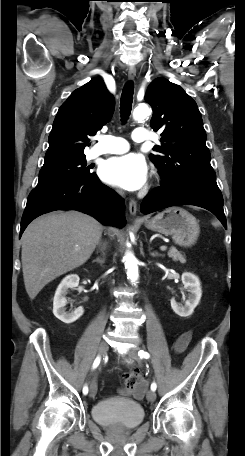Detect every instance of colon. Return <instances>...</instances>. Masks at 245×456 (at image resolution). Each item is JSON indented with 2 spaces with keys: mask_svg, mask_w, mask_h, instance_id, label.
<instances>
[{
  "mask_svg": "<svg viewBox=\"0 0 245 456\" xmlns=\"http://www.w3.org/2000/svg\"><path fill=\"white\" fill-rule=\"evenodd\" d=\"M141 379V372L138 369L126 373L123 377L126 388H134Z\"/></svg>",
  "mask_w": 245,
  "mask_h": 456,
  "instance_id": "colon-1",
  "label": "colon"
}]
</instances>
